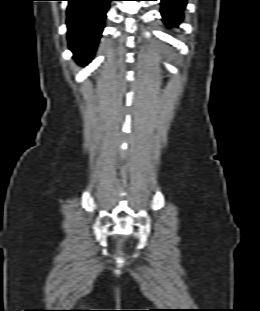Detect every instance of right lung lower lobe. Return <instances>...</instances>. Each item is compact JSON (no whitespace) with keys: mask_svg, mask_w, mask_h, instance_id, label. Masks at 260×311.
<instances>
[{"mask_svg":"<svg viewBox=\"0 0 260 311\" xmlns=\"http://www.w3.org/2000/svg\"><path fill=\"white\" fill-rule=\"evenodd\" d=\"M69 48L80 64L93 57L111 0H67Z\"/></svg>","mask_w":260,"mask_h":311,"instance_id":"1","label":"right lung lower lobe"}]
</instances>
